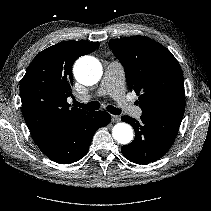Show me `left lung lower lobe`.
I'll return each instance as SVG.
<instances>
[{
	"instance_id": "obj_1",
	"label": "left lung lower lobe",
	"mask_w": 211,
	"mask_h": 211,
	"mask_svg": "<svg viewBox=\"0 0 211 211\" xmlns=\"http://www.w3.org/2000/svg\"><path fill=\"white\" fill-rule=\"evenodd\" d=\"M183 116L172 114H142L140 121L122 116L133 126L135 138L122 147L123 155L136 164H148L160 159L171 148Z\"/></svg>"
}]
</instances>
